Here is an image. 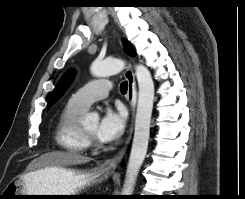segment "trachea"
<instances>
[{
  "instance_id": "1",
  "label": "trachea",
  "mask_w": 245,
  "mask_h": 199,
  "mask_svg": "<svg viewBox=\"0 0 245 199\" xmlns=\"http://www.w3.org/2000/svg\"><path fill=\"white\" fill-rule=\"evenodd\" d=\"M127 89H128V83L127 82H123L121 85H120V92L122 94H125L127 92Z\"/></svg>"
}]
</instances>
